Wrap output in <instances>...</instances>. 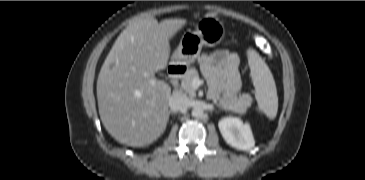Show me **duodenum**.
I'll return each instance as SVG.
<instances>
[{
    "mask_svg": "<svg viewBox=\"0 0 365 180\" xmlns=\"http://www.w3.org/2000/svg\"><path fill=\"white\" fill-rule=\"evenodd\" d=\"M187 69L182 65H171L168 68V74L173 85H176L178 81L186 74Z\"/></svg>",
    "mask_w": 365,
    "mask_h": 180,
    "instance_id": "1",
    "label": "duodenum"
}]
</instances>
